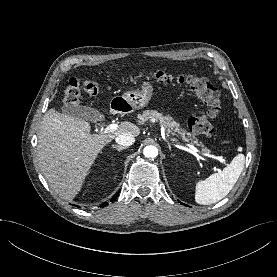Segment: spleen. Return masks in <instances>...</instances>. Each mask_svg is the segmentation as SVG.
Here are the masks:
<instances>
[{
	"instance_id": "obj_1",
	"label": "spleen",
	"mask_w": 277,
	"mask_h": 277,
	"mask_svg": "<svg viewBox=\"0 0 277 277\" xmlns=\"http://www.w3.org/2000/svg\"><path fill=\"white\" fill-rule=\"evenodd\" d=\"M245 156L238 154L221 172L196 183L195 201L209 205L223 199L234 187L243 171Z\"/></svg>"
}]
</instances>
